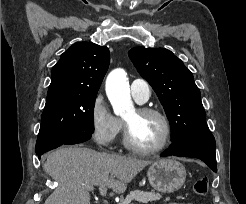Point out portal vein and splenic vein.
I'll use <instances>...</instances> for the list:
<instances>
[{
    "instance_id": "18ae733b",
    "label": "portal vein and splenic vein",
    "mask_w": 246,
    "mask_h": 204,
    "mask_svg": "<svg viewBox=\"0 0 246 204\" xmlns=\"http://www.w3.org/2000/svg\"><path fill=\"white\" fill-rule=\"evenodd\" d=\"M86 188L90 191L94 190V186L93 185H88L86 186ZM99 192L102 196H106L107 195V188L104 184H101L99 186Z\"/></svg>"
}]
</instances>
